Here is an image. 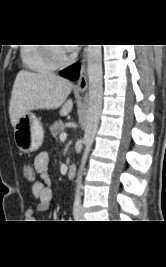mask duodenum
<instances>
[{
	"label": "duodenum",
	"instance_id": "duodenum-1",
	"mask_svg": "<svg viewBox=\"0 0 166 267\" xmlns=\"http://www.w3.org/2000/svg\"><path fill=\"white\" fill-rule=\"evenodd\" d=\"M76 170H77L76 165L75 164H71L69 166V169H68V172H67V177L70 178V179L74 178L75 175H76Z\"/></svg>",
	"mask_w": 166,
	"mask_h": 267
}]
</instances>
